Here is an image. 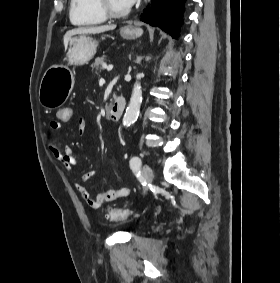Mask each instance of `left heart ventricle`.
<instances>
[{"instance_id": "obj_1", "label": "left heart ventricle", "mask_w": 280, "mask_h": 283, "mask_svg": "<svg viewBox=\"0 0 280 283\" xmlns=\"http://www.w3.org/2000/svg\"><path fill=\"white\" fill-rule=\"evenodd\" d=\"M108 4L115 11H123L129 7L124 0H108Z\"/></svg>"}]
</instances>
